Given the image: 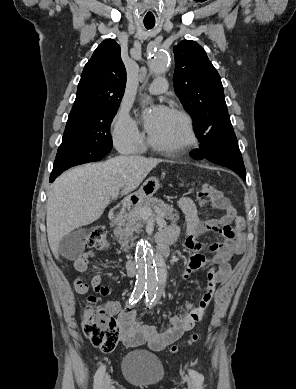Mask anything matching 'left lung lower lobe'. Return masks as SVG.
Here are the masks:
<instances>
[{
    "mask_svg": "<svg viewBox=\"0 0 296 389\" xmlns=\"http://www.w3.org/2000/svg\"><path fill=\"white\" fill-rule=\"evenodd\" d=\"M199 146L190 152L195 160L207 159L225 166L246 179L245 167L230 117H224L211 126L199 139Z\"/></svg>",
    "mask_w": 296,
    "mask_h": 389,
    "instance_id": "1",
    "label": "left lung lower lobe"
}]
</instances>
